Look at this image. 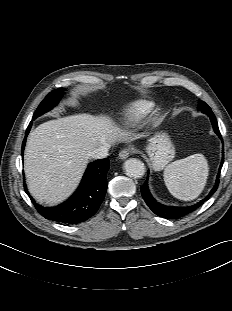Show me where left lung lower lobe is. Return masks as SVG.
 <instances>
[{
    "label": "left lung lower lobe",
    "instance_id": "left-lung-lower-lobe-1",
    "mask_svg": "<svg viewBox=\"0 0 232 311\" xmlns=\"http://www.w3.org/2000/svg\"><path fill=\"white\" fill-rule=\"evenodd\" d=\"M203 113H205L206 115H208L210 117V120L212 122L213 125V129L215 131V133L219 136V138L222 139V136L220 134L219 128H218V124H217V120L215 118V115L213 114L212 110H204ZM224 155V152H222ZM223 161H224V157L222 156V161H221V165L219 168V172L216 178V183L214 185V187L212 188V190L210 191V193L207 195L206 198H204L203 200H201L200 202H198L195 205L189 206V207H171V206H165L162 205L160 203H158L150 194L149 189H148V182L146 181L142 186H141V194L146 202V204L149 206V208L158 216L166 218V219H178L180 217H183L187 214H189L190 212L194 211L195 209H197L200 205H202L205 201H207L217 190L218 184H219V176H220V172H221V168L223 165Z\"/></svg>",
    "mask_w": 232,
    "mask_h": 311
}]
</instances>
